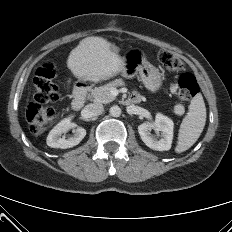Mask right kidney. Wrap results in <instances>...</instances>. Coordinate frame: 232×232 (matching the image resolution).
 Masks as SVG:
<instances>
[{
  "mask_svg": "<svg viewBox=\"0 0 232 232\" xmlns=\"http://www.w3.org/2000/svg\"><path fill=\"white\" fill-rule=\"evenodd\" d=\"M73 129V135L66 138L62 134H66ZM86 135V130L77 124L71 122V117L63 119L49 133L47 137V145L51 148H71L78 145ZM62 136V137H61Z\"/></svg>",
  "mask_w": 232,
  "mask_h": 232,
  "instance_id": "obj_1",
  "label": "right kidney"
}]
</instances>
